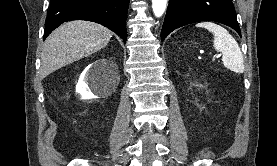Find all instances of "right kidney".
I'll return each mask as SVG.
<instances>
[{
  "instance_id": "1",
  "label": "right kidney",
  "mask_w": 277,
  "mask_h": 166,
  "mask_svg": "<svg viewBox=\"0 0 277 166\" xmlns=\"http://www.w3.org/2000/svg\"><path fill=\"white\" fill-rule=\"evenodd\" d=\"M106 60H99L95 64H103ZM89 86H99V83L94 79V71L92 64L89 65L84 72L81 74L79 81L76 85V92L82 99H93L96 96L91 92Z\"/></svg>"
}]
</instances>
